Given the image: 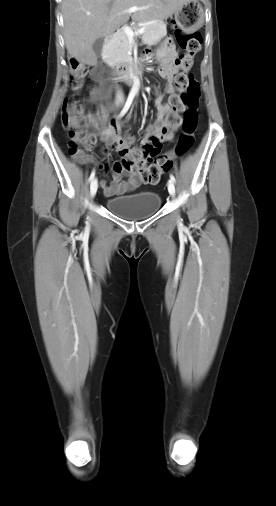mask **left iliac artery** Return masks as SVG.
<instances>
[{
    "label": "left iliac artery",
    "mask_w": 276,
    "mask_h": 506,
    "mask_svg": "<svg viewBox=\"0 0 276 506\" xmlns=\"http://www.w3.org/2000/svg\"><path fill=\"white\" fill-rule=\"evenodd\" d=\"M170 180H171L173 183H175V177H174L172 174H170Z\"/></svg>",
    "instance_id": "1"
}]
</instances>
